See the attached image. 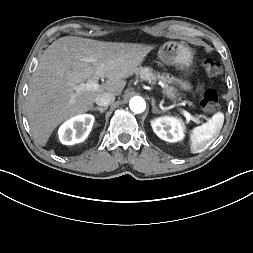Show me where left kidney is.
Segmentation results:
<instances>
[{
  "instance_id": "1",
  "label": "left kidney",
  "mask_w": 253,
  "mask_h": 253,
  "mask_svg": "<svg viewBox=\"0 0 253 253\" xmlns=\"http://www.w3.org/2000/svg\"><path fill=\"white\" fill-rule=\"evenodd\" d=\"M151 126L156 135L167 142H177L183 139L184 127L174 117H159L151 121Z\"/></svg>"
}]
</instances>
